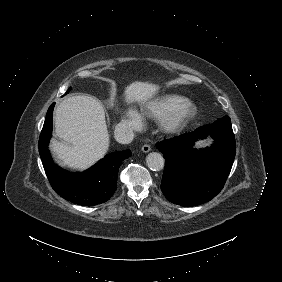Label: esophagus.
Instances as JSON below:
<instances>
[{"mask_svg":"<svg viewBox=\"0 0 282 282\" xmlns=\"http://www.w3.org/2000/svg\"><path fill=\"white\" fill-rule=\"evenodd\" d=\"M150 150H151V147H150L149 144H145V145L142 147V151H143L144 153H147V152H149Z\"/></svg>","mask_w":282,"mask_h":282,"instance_id":"obj_1","label":"esophagus"}]
</instances>
